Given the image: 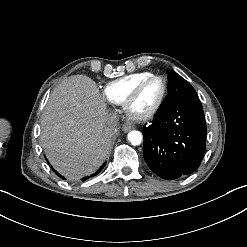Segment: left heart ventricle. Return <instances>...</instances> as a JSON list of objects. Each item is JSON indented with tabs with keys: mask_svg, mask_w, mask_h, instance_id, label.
Wrapping results in <instances>:
<instances>
[{
	"mask_svg": "<svg viewBox=\"0 0 247 247\" xmlns=\"http://www.w3.org/2000/svg\"><path fill=\"white\" fill-rule=\"evenodd\" d=\"M162 92L163 85L161 81L154 79L146 82L131 106V113L142 114L151 110L160 100Z\"/></svg>",
	"mask_w": 247,
	"mask_h": 247,
	"instance_id": "obj_1",
	"label": "left heart ventricle"
}]
</instances>
